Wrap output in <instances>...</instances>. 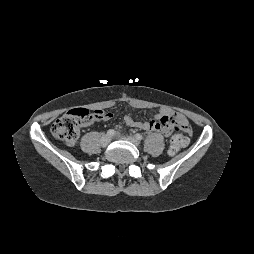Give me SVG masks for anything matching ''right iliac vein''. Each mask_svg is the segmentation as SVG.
<instances>
[{"label": "right iliac vein", "mask_w": 254, "mask_h": 254, "mask_svg": "<svg viewBox=\"0 0 254 254\" xmlns=\"http://www.w3.org/2000/svg\"><path fill=\"white\" fill-rule=\"evenodd\" d=\"M110 141H111L110 136L105 135L101 139V145L102 146H107L110 143Z\"/></svg>", "instance_id": "obj_1"}]
</instances>
